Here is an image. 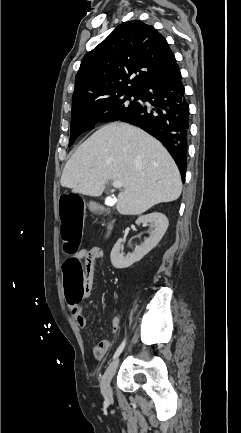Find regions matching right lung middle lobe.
I'll use <instances>...</instances> for the list:
<instances>
[{"instance_id":"1","label":"right lung middle lobe","mask_w":241,"mask_h":433,"mask_svg":"<svg viewBox=\"0 0 241 433\" xmlns=\"http://www.w3.org/2000/svg\"><path fill=\"white\" fill-rule=\"evenodd\" d=\"M134 97V100H131ZM140 98L138 91H124L108 97L77 102L72 105L70 126L71 146L83 132L93 129L98 120L112 122L130 114L138 105Z\"/></svg>"}]
</instances>
